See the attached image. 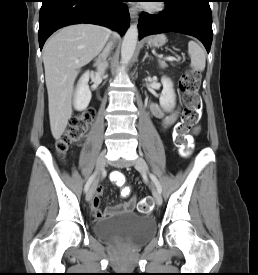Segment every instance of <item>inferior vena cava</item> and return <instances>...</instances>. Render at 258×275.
I'll return each instance as SVG.
<instances>
[{"instance_id":"inferior-vena-cava-1","label":"inferior vena cava","mask_w":258,"mask_h":275,"mask_svg":"<svg viewBox=\"0 0 258 275\" xmlns=\"http://www.w3.org/2000/svg\"><path fill=\"white\" fill-rule=\"evenodd\" d=\"M107 32H108V34L111 33L109 30H107ZM111 48H112V43H108L101 55V58L99 59V61L97 63V72H96L97 75H100V76L104 75V73L108 67L106 58L109 55Z\"/></svg>"}]
</instances>
